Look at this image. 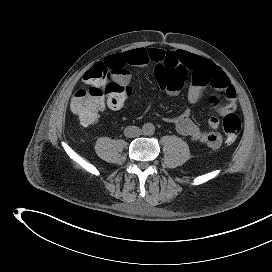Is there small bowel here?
I'll use <instances>...</instances> for the list:
<instances>
[{
    "label": "small bowel",
    "mask_w": 272,
    "mask_h": 272,
    "mask_svg": "<svg viewBox=\"0 0 272 272\" xmlns=\"http://www.w3.org/2000/svg\"><path fill=\"white\" fill-rule=\"evenodd\" d=\"M154 64L155 75L160 89L167 95L176 96L182 91L186 80L190 84L186 92L189 103H197L207 86L213 87L216 95L211 98L220 116L232 114L237 108V94L226 73L212 62L193 53L177 50L167 51L158 48H137L107 56L101 64L115 68L126 66L147 67ZM123 78L131 79L125 69ZM177 132L192 141L202 143L212 149L222 145V136L218 132L219 119L211 117L208 121L209 131H203L182 113L173 119Z\"/></svg>",
    "instance_id": "1"
}]
</instances>
